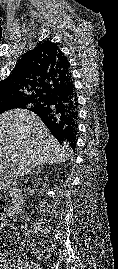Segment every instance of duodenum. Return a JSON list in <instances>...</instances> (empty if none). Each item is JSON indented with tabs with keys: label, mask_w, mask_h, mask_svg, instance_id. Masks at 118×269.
Instances as JSON below:
<instances>
[{
	"label": "duodenum",
	"mask_w": 118,
	"mask_h": 269,
	"mask_svg": "<svg viewBox=\"0 0 118 269\" xmlns=\"http://www.w3.org/2000/svg\"><path fill=\"white\" fill-rule=\"evenodd\" d=\"M0 182H1V177H0ZM11 192H12V193H15V190H11ZM13 209H15V206H14V205H12V206L10 207V211H12ZM1 213H2V212H0V216H1Z\"/></svg>",
	"instance_id": "410a0bca"
}]
</instances>
